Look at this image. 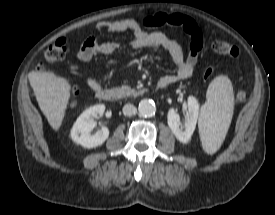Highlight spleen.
<instances>
[{
  "mask_svg": "<svg viewBox=\"0 0 275 215\" xmlns=\"http://www.w3.org/2000/svg\"><path fill=\"white\" fill-rule=\"evenodd\" d=\"M234 109L233 87L226 75L215 77L208 86L206 102L201 107L199 133L207 154H214L223 143Z\"/></svg>",
  "mask_w": 275,
  "mask_h": 215,
  "instance_id": "1",
  "label": "spleen"
}]
</instances>
